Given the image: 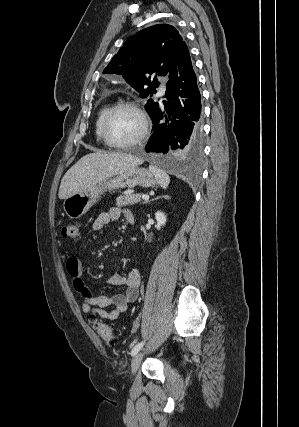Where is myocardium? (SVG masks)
Instances as JSON below:
<instances>
[{"label": "myocardium", "mask_w": 299, "mask_h": 427, "mask_svg": "<svg viewBox=\"0 0 299 427\" xmlns=\"http://www.w3.org/2000/svg\"><path fill=\"white\" fill-rule=\"evenodd\" d=\"M121 109H129L134 111L140 118L141 121V130L139 132V134L132 140L128 141V142H123V143H118V142H114L108 133V125L109 122L112 118V116ZM149 132V120L148 117L145 113V111L135 102L132 101H122L119 102L115 105H113L105 114L102 124H101V136L102 139L104 141V143L112 148H116V149H126V148H130L132 146H135L137 144H139L140 142H142L146 136L148 135Z\"/></svg>", "instance_id": "1"}]
</instances>
